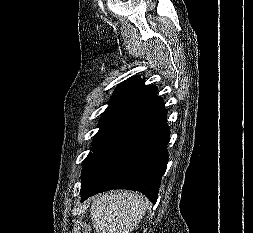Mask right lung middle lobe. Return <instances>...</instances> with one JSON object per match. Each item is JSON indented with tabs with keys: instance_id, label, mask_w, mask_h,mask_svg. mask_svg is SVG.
<instances>
[{
	"instance_id": "right-lung-middle-lobe-1",
	"label": "right lung middle lobe",
	"mask_w": 253,
	"mask_h": 233,
	"mask_svg": "<svg viewBox=\"0 0 253 233\" xmlns=\"http://www.w3.org/2000/svg\"><path fill=\"white\" fill-rule=\"evenodd\" d=\"M136 104L133 103H110L104 111L99 122V131L92 143L94 152L109 134L125 119ZM89 153L87 158L92 154ZM86 158V159H87Z\"/></svg>"
}]
</instances>
